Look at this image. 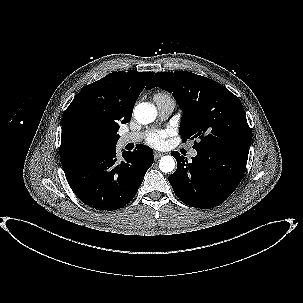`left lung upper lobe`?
Wrapping results in <instances>:
<instances>
[{
  "label": "left lung upper lobe",
  "mask_w": 303,
  "mask_h": 303,
  "mask_svg": "<svg viewBox=\"0 0 303 303\" xmlns=\"http://www.w3.org/2000/svg\"><path fill=\"white\" fill-rule=\"evenodd\" d=\"M170 93L181 107L180 135L194 140V148L216 146L250 148L252 131L241 101L212 79L186 71L158 72L146 89Z\"/></svg>",
  "instance_id": "5c2ea615"
}]
</instances>
